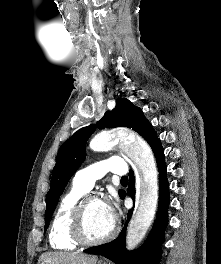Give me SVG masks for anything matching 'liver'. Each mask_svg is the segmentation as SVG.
<instances>
[{"label": "liver", "instance_id": "1", "mask_svg": "<svg viewBox=\"0 0 221 264\" xmlns=\"http://www.w3.org/2000/svg\"><path fill=\"white\" fill-rule=\"evenodd\" d=\"M97 259L96 256L77 252H46L40 256L39 262L48 264H96Z\"/></svg>", "mask_w": 221, "mask_h": 264}]
</instances>
